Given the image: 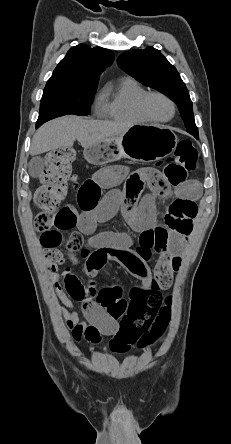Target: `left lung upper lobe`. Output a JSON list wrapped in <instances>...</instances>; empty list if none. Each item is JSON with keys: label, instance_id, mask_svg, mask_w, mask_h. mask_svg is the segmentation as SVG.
<instances>
[{"label": "left lung upper lobe", "instance_id": "left-lung-upper-lobe-1", "mask_svg": "<svg viewBox=\"0 0 231 444\" xmlns=\"http://www.w3.org/2000/svg\"><path fill=\"white\" fill-rule=\"evenodd\" d=\"M118 64L142 84L171 97L184 118L187 132L198 138L189 92L176 68L159 50L148 47L125 52L119 56Z\"/></svg>", "mask_w": 231, "mask_h": 444}]
</instances>
